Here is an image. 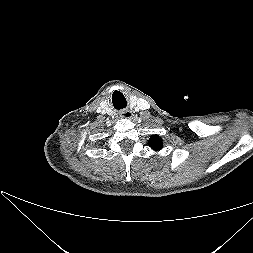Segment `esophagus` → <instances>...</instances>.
Returning a JSON list of instances; mask_svg holds the SVG:
<instances>
[{
	"label": "esophagus",
	"instance_id": "obj_1",
	"mask_svg": "<svg viewBox=\"0 0 253 253\" xmlns=\"http://www.w3.org/2000/svg\"><path fill=\"white\" fill-rule=\"evenodd\" d=\"M122 116H123L124 118H126V119H132V113L129 112V111L123 113Z\"/></svg>",
	"mask_w": 253,
	"mask_h": 253
}]
</instances>
